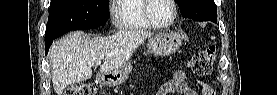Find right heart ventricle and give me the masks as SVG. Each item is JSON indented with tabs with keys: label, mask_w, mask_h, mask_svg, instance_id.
Instances as JSON below:
<instances>
[{
	"label": "right heart ventricle",
	"mask_w": 277,
	"mask_h": 95,
	"mask_svg": "<svg viewBox=\"0 0 277 95\" xmlns=\"http://www.w3.org/2000/svg\"><path fill=\"white\" fill-rule=\"evenodd\" d=\"M115 23L120 30L151 29L145 17L147 0H117Z\"/></svg>",
	"instance_id": "obj_1"
}]
</instances>
